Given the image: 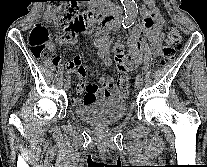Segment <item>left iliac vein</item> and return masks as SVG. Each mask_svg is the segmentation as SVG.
<instances>
[{"label":"left iliac vein","mask_w":207,"mask_h":167,"mask_svg":"<svg viewBox=\"0 0 207 167\" xmlns=\"http://www.w3.org/2000/svg\"><path fill=\"white\" fill-rule=\"evenodd\" d=\"M142 88V80H136L135 89L140 90Z\"/></svg>","instance_id":"obj_1"}]
</instances>
